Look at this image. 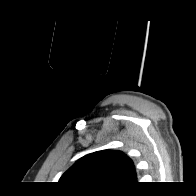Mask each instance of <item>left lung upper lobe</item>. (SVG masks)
Returning a JSON list of instances; mask_svg holds the SVG:
<instances>
[{
    "label": "left lung upper lobe",
    "instance_id": "5c2ea615",
    "mask_svg": "<svg viewBox=\"0 0 196 196\" xmlns=\"http://www.w3.org/2000/svg\"><path fill=\"white\" fill-rule=\"evenodd\" d=\"M132 160L123 152L103 150L79 159L60 178L63 186L82 192H115L136 183Z\"/></svg>",
    "mask_w": 196,
    "mask_h": 196
}]
</instances>
